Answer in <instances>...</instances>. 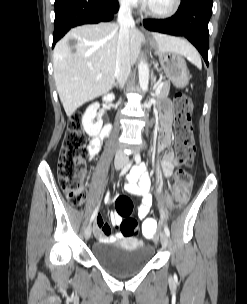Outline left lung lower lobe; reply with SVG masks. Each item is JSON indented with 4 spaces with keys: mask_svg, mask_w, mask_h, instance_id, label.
<instances>
[{
    "mask_svg": "<svg viewBox=\"0 0 247 304\" xmlns=\"http://www.w3.org/2000/svg\"><path fill=\"white\" fill-rule=\"evenodd\" d=\"M213 0H181L178 11L168 19H147L150 31L186 37L201 53L208 65V22Z\"/></svg>",
    "mask_w": 247,
    "mask_h": 304,
    "instance_id": "left-lung-lower-lobe-1",
    "label": "left lung lower lobe"
}]
</instances>
